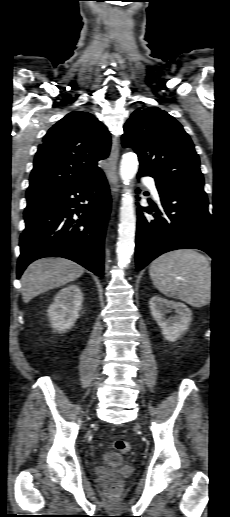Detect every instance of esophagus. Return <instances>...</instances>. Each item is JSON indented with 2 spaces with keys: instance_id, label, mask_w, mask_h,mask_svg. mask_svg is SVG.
<instances>
[{
  "instance_id": "esophagus-1",
  "label": "esophagus",
  "mask_w": 230,
  "mask_h": 517,
  "mask_svg": "<svg viewBox=\"0 0 230 517\" xmlns=\"http://www.w3.org/2000/svg\"><path fill=\"white\" fill-rule=\"evenodd\" d=\"M118 159H119V142L116 137L113 138L112 148L108 159V176L111 183V189L114 199L120 191V180L118 176Z\"/></svg>"
}]
</instances>
